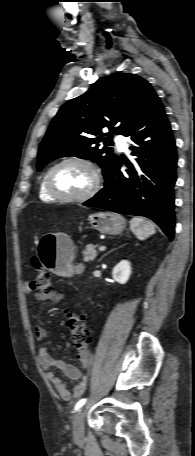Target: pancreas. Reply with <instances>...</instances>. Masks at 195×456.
Here are the masks:
<instances>
[{"label": "pancreas", "instance_id": "cf45deb5", "mask_svg": "<svg viewBox=\"0 0 195 456\" xmlns=\"http://www.w3.org/2000/svg\"><path fill=\"white\" fill-rule=\"evenodd\" d=\"M96 246L88 245L82 252L83 259L85 262L93 261L97 257Z\"/></svg>", "mask_w": 195, "mask_h": 456}]
</instances>
